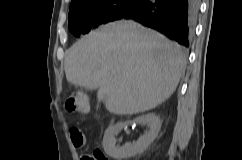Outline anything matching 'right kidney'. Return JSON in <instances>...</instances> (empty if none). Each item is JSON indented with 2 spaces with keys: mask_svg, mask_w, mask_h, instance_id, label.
Instances as JSON below:
<instances>
[{
  "mask_svg": "<svg viewBox=\"0 0 242 160\" xmlns=\"http://www.w3.org/2000/svg\"><path fill=\"white\" fill-rule=\"evenodd\" d=\"M147 124L149 131L140 136L136 143H126L123 146H116L115 136L128 124ZM161 121L155 113H148L134 119L133 121L118 122L110 125L103 137V148L105 153L114 159H127L144 152L157 137Z\"/></svg>",
  "mask_w": 242,
  "mask_h": 160,
  "instance_id": "obj_1",
  "label": "right kidney"
}]
</instances>
